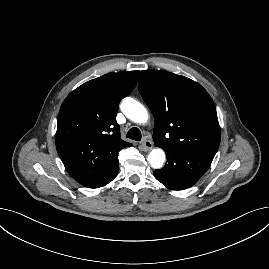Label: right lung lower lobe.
<instances>
[{"label": "right lung lower lobe", "instance_id": "right-lung-lower-lobe-1", "mask_svg": "<svg viewBox=\"0 0 269 269\" xmlns=\"http://www.w3.org/2000/svg\"><path fill=\"white\" fill-rule=\"evenodd\" d=\"M119 172V162H117L107 173L104 177H102L99 181L95 184L91 185L89 188H99L105 186L109 182H111Z\"/></svg>", "mask_w": 269, "mask_h": 269}]
</instances>
